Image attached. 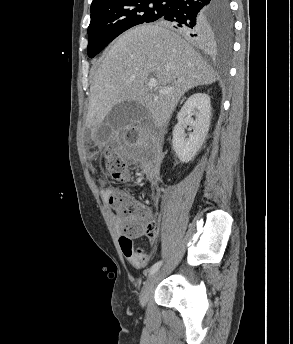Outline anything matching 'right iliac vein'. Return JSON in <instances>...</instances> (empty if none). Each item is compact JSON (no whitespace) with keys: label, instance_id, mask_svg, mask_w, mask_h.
Instances as JSON below:
<instances>
[{"label":"right iliac vein","instance_id":"obj_1","mask_svg":"<svg viewBox=\"0 0 293 344\" xmlns=\"http://www.w3.org/2000/svg\"><path fill=\"white\" fill-rule=\"evenodd\" d=\"M157 278H158V273H155L145 283V285L141 291L140 298H139L140 304L142 307H144L146 305L148 298L154 289Z\"/></svg>","mask_w":293,"mask_h":344}]
</instances>
